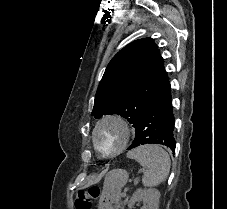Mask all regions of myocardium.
<instances>
[{"mask_svg": "<svg viewBox=\"0 0 227 209\" xmlns=\"http://www.w3.org/2000/svg\"><path fill=\"white\" fill-rule=\"evenodd\" d=\"M106 121H114V122L118 123L119 125H121L124 130V139H123V142L120 145V147L117 148L116 150L109 152V153H102L99 150V148L97 147L95 135H96V131L99 128V126ZM131 136H132V131H131L128 121L119 114L110 113V114H106V115H103L102 117H100L94 124L93 129L91 131V144H92V147H93L95 153L97 154V156L99 158L108 159V158H112V157L119 155L128 146V144L131 140Z\"/></svg>", "mask_w": 227, "mask_h": 209, "instance_id": "f54148a6", "label": "myocardium"}]
</instances>
